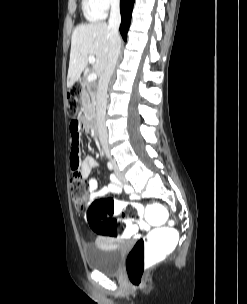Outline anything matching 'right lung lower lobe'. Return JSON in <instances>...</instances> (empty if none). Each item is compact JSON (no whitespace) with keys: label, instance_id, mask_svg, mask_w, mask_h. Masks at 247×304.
<instances>
[{"label":"right lung lower lobe","instance_id":"right-lung-lower-lobe-1","mask_svg":"<svg viewBox=\"0 0 247 304\" xmlns=\"http://www.w3.org/2000/svg\"><path fill=\"white\" fill-rule=\"evenodd\" d=\"M134 1L135 0H121L120 2V12L122 17L120 33L124 40H126L127 37Z\"/></svg>","mask_w":247,"mask_h":304}]
</instances>
